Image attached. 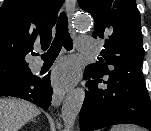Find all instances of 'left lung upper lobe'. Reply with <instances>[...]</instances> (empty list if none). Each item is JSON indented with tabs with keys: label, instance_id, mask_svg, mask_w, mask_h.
<instances>
[{
	"label": "left lung upper lobe",
	"instance_id": "5c2ea615",
	"mask_svg": "<svg viewBox=\"0 0 151 131\" xmlns=\"http://www.w3.org/2000/svg\"><path fill=\"white\" fill-rule=\"evenodd\" d=\"M78 3L94 18L93 37L105 39L102 58L87 68L101 76L141 68L144 49L135 0H78Z\"/></svg>",
	"mask_w": 151,
	"mask_h": 131
}]
</instances>
